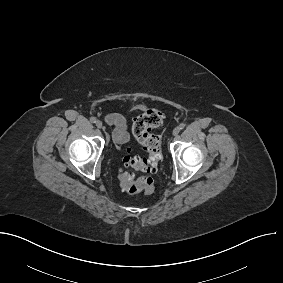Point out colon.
<instances>
[{
    "label": "colon",
    "instance_id": "colon-1",
    "mask_svg": "<svg viewBox=\"0 0 283 283\" xmlns=\"http://www.w3.org/2000/svg\"><path fill=\"white\" fill-rule=\"evenodd\" d=\"M164 114L151 108L138 115L133 122V134L147 153V157L127 156L124 159L125 165L133 170L153 174L162 158L161 142L158 135L152 132L153 129L162 126ZM122 189L128 194H138L144 192L149 194L153 191L154 183L151 177L143 176L135 178L130 173H122L119 176Z\"/></svg>",
    "mask_w": 283,
    "mask_h": 283
}]
</instances>
